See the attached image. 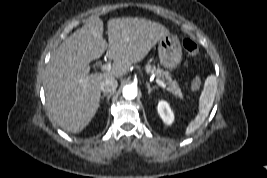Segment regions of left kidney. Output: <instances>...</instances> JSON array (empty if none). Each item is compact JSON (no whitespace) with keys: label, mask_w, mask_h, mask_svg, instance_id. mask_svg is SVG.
<instances>
[{"label":"left kidney","mask_w":267,"mask_h":178,"mask_svg":"<svg viewBox=\"0 0 267 178\" xmlns=\"http://www.w3.org/2000/svg\"><path fill=\"white\" fill-rule=\"evenodd\" d=\"M157 110H158L160 117L162 118V120L166 124L170 125L173 123L174 114H173L168 102H166L164 100L159 101L158 106H157Z\"/></svg>","instance_id":"5707ae66"}]
</instances>
